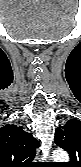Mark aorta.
Returning a JSON list of instances; mask_svg holds the SVG:
<instances>
[{"mask_svg":"<svg viewBox=\"0 0 81 167\" xmlns=\"http://www.w3.org/2000/svg\"><path fill=\"white\" fill-rule=\"evenodd\" d=\"M52 158L56 162H68L69 161V156L67 152L62 149L55 150L52 154Z\"/></svg>","mask_w":81,"mask_h":167,"instance_id":"aorta-1","label":"aorta"}]
</instances>
